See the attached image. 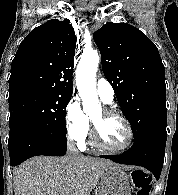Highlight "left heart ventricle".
Masks as SVG:
<instances>
[{"label":"left heart ventricle","mask_w":178,"mask_h":195,"mask_svg":"<svg viewBox=\"0 0 178 195\" xmlns=\"http://www.w3.org/2000/svg\"><path fill=\"white\" fill-rule=\"evenodd\" d=\"M92 119L99 126V133L105 144L112 147H121L126 144L128 132L119 119L105 117L102 110Z\"/></svg>","instance_id":"b2bd125f"}]
</instances>
